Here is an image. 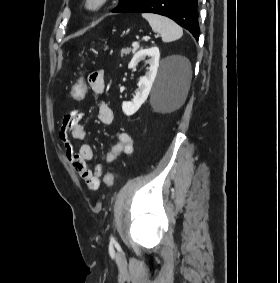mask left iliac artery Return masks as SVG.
<instances>
[{
  "label": "left iliac artery",
  "instance_id": "1",
  "mask_svg": "<svg viewBox=\"0 0 280 283\" xmlns=\"http://www.w3.org/2000/svg\"><path fill=\"white\" fill-rule=\"evenodd\" d=\"M110 241H111L112 243H114V242H115L114 237L111 236Z\"/></svg>",
  "mask_w": 280,
  "mask_h": 283
}]
</instances>
